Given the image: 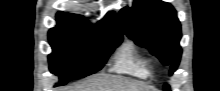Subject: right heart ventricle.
Returning a JSON list of instances; mask_svg holds the SVG:
<instances>
[{
    "instance_id": "1",
    "label": "right heart ventricle",
    "mask_w": 220,
    "mask_h": 91,
    "mask_svg": "<svg viewBox=\"0 0 220 91\" xmlns=\"http://www.w3.org/2000/svg\"><path fill=\"white\" fill-rule=\"evenodd\" d=\"M113 70L141 79H146L152 74L149 59L131 42H127L115 54Z\"/></svg>"
}]
</instances>
